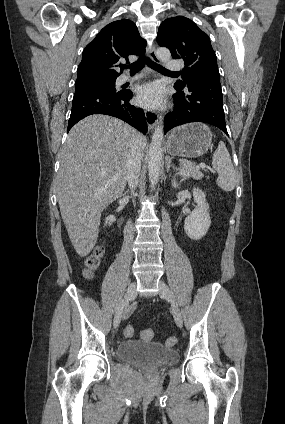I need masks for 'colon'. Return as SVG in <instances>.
Here are the masks:
<instances>
[{
    "mask_svg": "<svg viewBox=\"0 0 285 424\" xmlns=\"http://www.w3.org/2000/svg\"><path fill=\"white\" fill-rule=\"evenodd\" d=\"M105 255V247L100 245L97 246L85 259L84 261V270L83 274L86 278H91L93 273L101 266L103 257ZM124 335L126 337H131L134 335V328L131 325H128L124 329ZM154 336L152 329H145L141 332V337L144 340H151ZM168 344H175L176 339L170 337L167 339Z\"/></svg>",
    "mask_w": 285,
    "mask_h": 424,
    "instance_id": "5ec220e1",
    "label": "colon"
}]
</instances>
